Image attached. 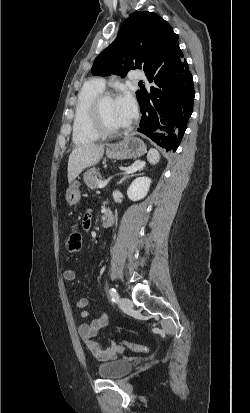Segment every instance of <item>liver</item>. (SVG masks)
I'll list each match as a JSON object with an SVG mask.
<instances>
[{"instance_id": "obj_1", "label": "liver", "mask_w": 250, "mask_h": 413, "mask_svg": "<svg viewBox=\"0 0 250 413\" xmlns=\"http://www.w3.org/2000/svg\"><path fill=\"white\" fill-rule=\"evenodd\" d=\"M105 145L87 143L76 146L68 160V182L72 183L87 167L96 165L104 154Z\"/></svg>"}]
</instances>
